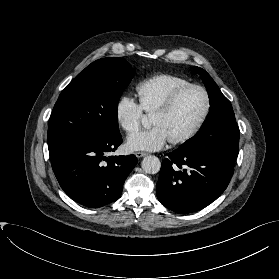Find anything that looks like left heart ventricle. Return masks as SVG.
<instances>
[{"label":"left heart ventricle","mask_w":279,"mask_h":279,"mask_svg":"<svg viewBox=\"0 0 279 279\" xmlns=\"http://www.w3.org/2000/svg\"><path fill=\"white\" fill-rule=\"evenodd\" d=\"M204 107V96L197 89L183 92L169 113L163 116H152L151 123L158 126L169 140L179 138L187 133L198 120Z\"/></svg>","instance_id":"1"}]
</instances>
